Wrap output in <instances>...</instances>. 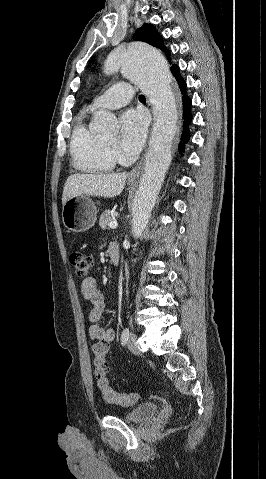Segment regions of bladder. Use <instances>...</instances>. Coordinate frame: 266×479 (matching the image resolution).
I'll return each mask as SVG.
<instances>
[{
  "instance_id": "bladder-1",
  "label": "bladder",
  "mask_w": 266,
  "mask_h": 479,
  "mask_svg": "<svg viewBox=\"0 0 266 479\" xmlns=\"http://www.w3.org/2000/svg\"><path fill=\"white\" fill-rule=\"evenodd\" d=\"M158 406L156 403L147 402L135 406L131 410L123 414V419L131 423H141L153 417L157 412Z\"/></svg>"
}]
</instances>
